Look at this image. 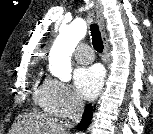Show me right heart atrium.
Returning <instances> with one entry per match:
<instances>
[{"mask_svg": "<svg viewBox=\"0 0 153 134\" xmlns=\"http://www.w3.org/2000/svg\"><path fill=\"white\" fill-rule=\"evenodd\" d=\"M41 105L52 114L64 118L78 112L82 102L68 84L54 78H48L45 81Z\"/></svg>", "mask_w": 153, "mask_h": 134, "instance_id": "1", "label": "right heart atrium"}]
</instances>
